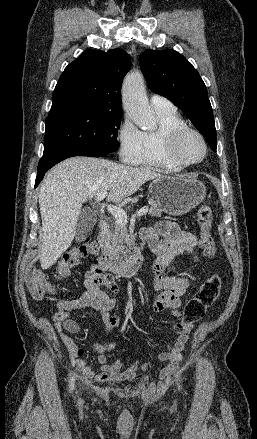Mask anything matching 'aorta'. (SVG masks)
Instances as JSON below:
<instances>
[{
	"label": "aorta",
	"instance_id": "aorta-1",
	"mask_svg": "<svg viewBox=\"0 0 257 439\" xmlns=\"http://www.w3.org/2000/svg\"><path fill=\"white\" fill-rule=\"evenodd\" d=\"M123 108L133 122L144 130L157 127L154 110L149 105L143 77L134 72L125 78L122 87Z\"/></svg>",
	"mask_w": 257,
	"mask_h": 439
}]
</instances>
